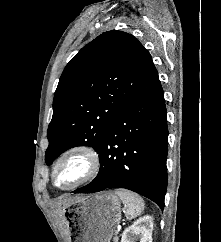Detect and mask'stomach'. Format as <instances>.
<instances>
[{
  "mask_svg": "<svg viewBox=\"0 0 221 242\" xmlns=\"http://www.w3.org/2000/svg\"><path fill=\"white\" fill-rule=\"evenodd\" d=\"M71 242H110L121 220V202L110 191L74 198L65 208Z\"/></svg>",
  "mask_w": 221,
  "mask_h": 242,
  "instance_id": "0dacf381",
  "label": "stomach"
}]
</instances>
